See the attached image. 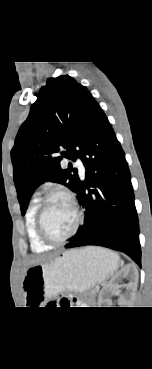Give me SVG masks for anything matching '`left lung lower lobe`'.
<instances>
[{
	"label": "left lung lower lobe",
	"instance_id": "1",
	"mask_svg": "<svg viewBox=\"0 0 152 369\" xmlns=\"http://www.w3.org/2000/svg\"><path fill=\"white\" fill-rule=\"evenodd\" d=\"M86 168L75 193L84 224L65 248L98 245L126 253L141 266L139 224L125 153L97 108L79 156Z\"/></svg>",
	"mask_w": 152,
	"mask_h": 369
}]
</instances>
